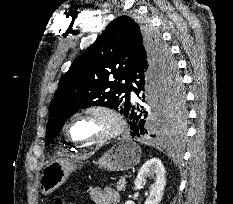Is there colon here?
I'll use <instances>...</instances> for the list:
<instances>
[{
	"label": "colon",
	"instance_id": "5ec220e1",
	"mask_svg": "<svg viewBox=\"0 0 233 204\" xmlns=\"http://www.w3.org/2000/svg\"><path fill=\"white\" fill-rule=\"evenodd\" d=\"M54 204H64V202H63V200H62V198H57L56 200H55V203Z\"/></svg>",
	"mask_w": 233,
	"mask_h": 204
}]
</instances>
